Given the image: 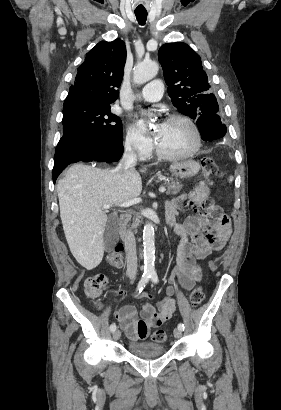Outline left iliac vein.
I'll return each instance as SVG.
<instances>
[{
    "mask_svg": "<svg viewBox=\"0 0 281 410\" xmlns=\"http://www.w3.org/2000/svg\"><path fill=\"white\" fill-rule=\"evenodd\" d=\"M173 334H174V337H175L176 339H180L181 336H182V331H181L180 329H178V328H175Z\"/></svg>",
    "mask_w": 281,
    "mask_h": 410,
    "instance_id": "obj_1",
    "label": "left iliac vein"
}]
</instances>
